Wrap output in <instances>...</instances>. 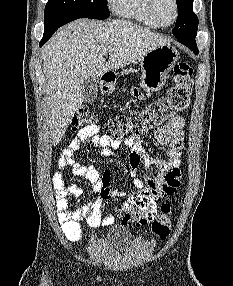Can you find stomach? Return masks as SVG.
Here are the masks:
<instances>
[{"label":"stomach","mask_w":233,"mask_h":286,"mask_svg":"<svg viewBox=\"0 0 233 286\" xmlns=\"http://www.w3.org/2000/svg\"><path fill=\"white\" fill-rule=\"evenodd\" d=\"M178 58V51L170 44L150 50L141 58V87L148 92L160 90Z\"/></svg>","instance_id":"0dacf381"}]
</instances>
